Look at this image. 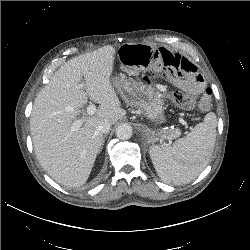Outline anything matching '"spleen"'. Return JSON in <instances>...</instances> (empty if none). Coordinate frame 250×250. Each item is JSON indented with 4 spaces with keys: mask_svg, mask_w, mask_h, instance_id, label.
Masks as SVG:
<instances>
[{
    "mask_svg": "<svg viewBox=\"0 0 250 250\" xmlns=\"http://www.w3.org/2000/svg\"><path fill=\"white\" fill-rule=\"evenodd\" d=\"M217 118L208 113L184 138L172 146L152 145L150 158L158 176L164 182L184 185L194 180L206 167L216 141Z\"/></svg>",
    "mask_w": 250,
    "mask_h": 250,
    "instance_id": "3e777b00",
    "label": "spleen"
}]
</instances>
